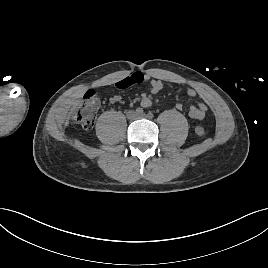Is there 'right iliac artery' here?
<instances>
[{"label":"right iliac artery","mask_w":268,"mask_h":268,"mask_svg":"<svg viewBox=\"0 0 268 268\" xmlns=\"http://www.w3.org/2000/svg\"><path fill=\"white\" fill-rule=\"evenodd\" d=\"M143 109L142 108H140V107H138L137 109H136V113L137 114H143Z\"/></svg>","instance_id":"1"}]
</instances>
